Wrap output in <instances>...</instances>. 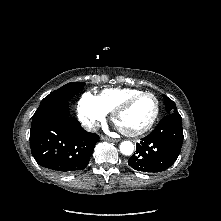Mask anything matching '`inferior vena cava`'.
I'll return each instance as SVG.
<instances>
[{
	"mask_svg": "<svg viewBox=\"0 0 221 221\" xmlns=\"http://www.w3.org/2000/svg\"><path fill=\"white\" fill-rule=\"evenodd\" d=\"M98 127H99V124H98V123H94V124H91V125H89V126H86V129H87V130L95 131V130L98 129Z\"/></svg>",
	"mask_w": 221,
	"mask_h": 221,
	"instance_id": "1",
	"label": "inferior vena cava"
}]
</instances>
